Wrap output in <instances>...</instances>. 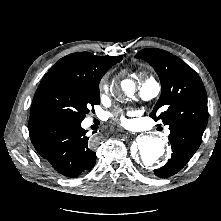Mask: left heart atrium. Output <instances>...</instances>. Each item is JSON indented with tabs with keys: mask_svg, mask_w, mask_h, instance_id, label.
<instances>
[{
	"mask_svg": "<svg viewBox=\"0 0 221 221\" xmlns=\"http://www.w3.org/2000/svg\"><path fill=\"white\" fill-rule=\"evenodd\" d=\"M115 118L122 124L127 125L129 123L128 119L125 117L122 111H118L115 115Z\"/></svg>",
	"mask_w": 221,
	"mask_h": 221,
	"instance_id": "1",
	"label": "left heart atrium"
}]
</instances>
